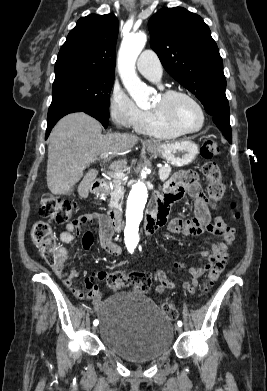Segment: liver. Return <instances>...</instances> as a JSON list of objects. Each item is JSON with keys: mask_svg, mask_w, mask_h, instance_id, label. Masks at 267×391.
<instances>
[{"mask_svg": "<svg viewBox=\"0 0 267 391\" xmlns=\"http://www.w3.org/2000/svg\"><path fill=\"white\" fill-rule=\"evenodd\" d=\"M101 124L83 113H71L63 117L53 128L49 137L47 160V186L60 195L68 192L80 181L84 168L101 154L108 153L107 161L116 156H126L138 142V137L130 134L110 133L102 135ZM127 165L126 158L110 164V168L121 171ZM98 174L90 170L79 185V193L88 196Z\"/></svg>", "mask_w": 267, "mask_h": 391, "instance_id": "liver-1", "label": "liver"}]
</instances>
